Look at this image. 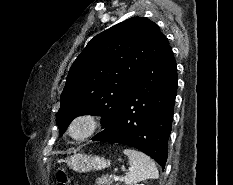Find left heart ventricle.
<instances>
[{"label":"left heart ventricle","instance_id":"left-heart-ventricle-1","mask_svg":"<svg viewBox=\"0 0 233 185\" xmlns=\"http://www.w3.org/2000/svg\"><path fill=\"white\" fill-rule=\"evenodd\" d=\"M87 128L88 126L85 122H79L73 128V135L80 136L86 132Z\"/></svg>","mask_w":233,"mask_h":185}]
</instances>
